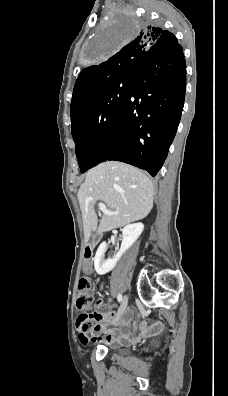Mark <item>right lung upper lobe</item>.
Instances as JSON below:
<instances>
[{"mask_svg":"<svg viewBox=\"0 0 228 396\" xmlns=\"http://www.w3.org/2000/svg\"><path fill=\"white\" fill-rule=\"evenodd\" d=\"M178 44L176 37L159 27L145 26L139 34L104 62L81 71L76 80L71 119L113 81L132 77L142 59L154 50H169Z\"/></svg>","mask_w":228,"mask_h":396,"instance_id":"obj_1","label":"right lung upper lobe"}]
</instances>
